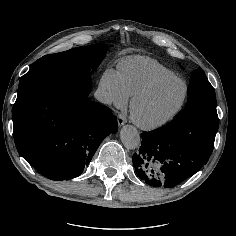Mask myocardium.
<instances>
[{
	"label": "myocardium",
	"instance_id": "1",
	"mask_svg": "<svg viewBox=\"0 0 236 236\" xmlns=\"http://www.w3.org/2000/svg\"><path fill=\"white\" fill-rule=\"evenodd\" d=\"M172 81H179L184 86V91H183L182 97H181L178 105L168 115H166L165 117H163L159 120L147 122V121L140 119L136 113L137 103L142 98H144L145 96L150 94L157 87H159L165 83L172 82ZM188 92H189L188 84L186 83L185 80H183L180 77L170 76V77H162V78H158L156 80H153L152 82H150L149 84H147L146 86H144L143 88L138 90L131 97L130 104H129L130 119L138 128H140L142 130L153 131V130L159 129V128L167 125L168 123H170L172 120H174L179 115V113L182 111V109L186 103Z\"/></svg>",
	"mask_w": 236,
	"mask_h": 236
}]
</instances>
